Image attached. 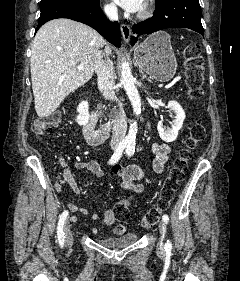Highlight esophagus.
Segmentation results:
<instances>
[{
  "label": "esophagus",
  "mask_w": 240,
  "mask_h": 281,
  "mask_svg": "<svg viewBox=\"0 0 240 281\" xmlns=\"http://www.w3.org/2000/svg\"><path fill=\"white\" fill-rule=\"evenodd\" d=\"M121 33L124 41L129 42L131 37V28L128 24L121 25Z\"/></svg>",
  "instance_id": "34e87169"
}]
</instances>
